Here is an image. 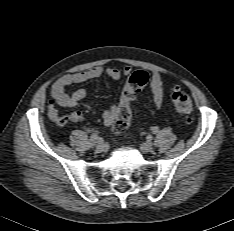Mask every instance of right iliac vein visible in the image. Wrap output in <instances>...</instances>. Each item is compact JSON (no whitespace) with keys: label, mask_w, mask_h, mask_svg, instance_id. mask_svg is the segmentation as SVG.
I'll return each instance as SVG.
<instances>
[{"label":"right iliac vein","mask_w":234,"mask_h":231,"mask_svg":"<svg viewBox=\"0 0 234 231\" xmlns=\"http://www.w3.org/2000/svg\"><path fill=\"white\" fill-rule=\"evenodd\" d=\"M107 148H108V145L105 142H101L96 146L95 151L97 153H103L107 150Z\"/></svg>","instance_id":"right-iliac-vein-1"}]
</instances>
